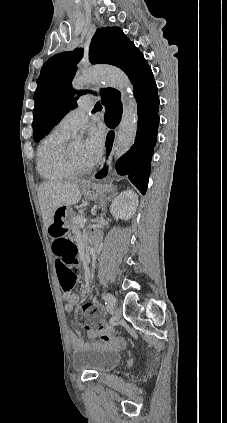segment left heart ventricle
<instances>
[{
    "label": "left heart ventricle",
    "mask_w": 227,
    "mask_h": 423,
    "mask_svg": "<svg viewBox=\"0 0 227 423\" xmlns=\"http://www.w3.org/2000/svg\"><path fill=\"white\" fill-rule=\"evenodd\" d=\"M71 150L75 160L79 165L88 166L84 159V144L82 141L71 144Z\"/></svg>",
    "instance_id": "b2bd125f"
}]
</instances>
